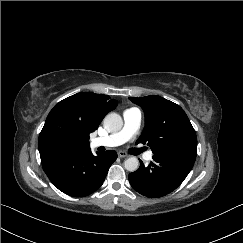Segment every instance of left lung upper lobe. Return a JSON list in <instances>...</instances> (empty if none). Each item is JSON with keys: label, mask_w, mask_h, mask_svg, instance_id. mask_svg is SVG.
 I'll list each match as a JSON object with an SVG mask.
<instances>
[{"label": "left lung upper lobe", "mask_w": 243, "mask_h": 243, "mask_svg": "<svg viewBox=\"0 0 243 243\" xmlns=\"http://www.w3.org/2000/svg\"><path fill=\"white\" fill-rule=\"evenodd\" d=\"M145 113V127L136 143L148 145L154 154L162 151L197 147V137L183 109L160 96L129 97Z\"/></svg>", "instance_id": "5c2ea615"}]
</instances>
